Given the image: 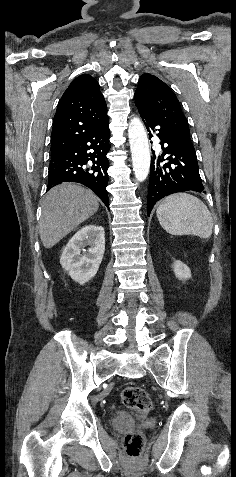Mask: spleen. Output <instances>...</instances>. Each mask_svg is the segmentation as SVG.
Segmentation results:
<instances>
[{
  "label": "spleen",
  "mask_w": 236,
  "mask_h": 477,
  "mask_svg": "<svg viewBox=\"0 0 236 477\" xmlns=\"http://www.w3.org/2000/svg\"><path fill=\"white\" fill-rule=\"evenodd\" d=\"M156 215L162 228L172 235L191 234L207 239L213 230V219L207 206L197 197L178 193L165 198Z\"/></svg>",
  "instance_id": "3e777b00"
}]
</instances>
